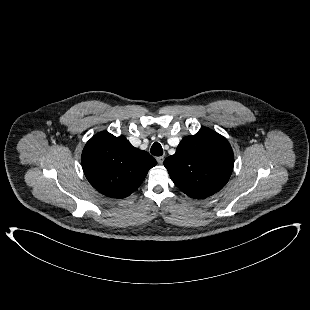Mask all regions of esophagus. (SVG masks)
Here are the masks:
<instances>
[{
	"label": "esophagus",
	"instance_id": "34e87169",
	"mask_svg": "<svg viewBox=\"0 0 310 310\" xmlns=\"http://www.w3.org/2000/svg\"><path fill=\"white\" fill-rule=\"evenodd\" d=\"M156 160H157L158 164L162 165L164 162V157L163 156L157 157Z\"/></svg>",
	"mask_w": 310,
	"mask_h": 310
}]
</instances>
